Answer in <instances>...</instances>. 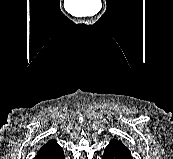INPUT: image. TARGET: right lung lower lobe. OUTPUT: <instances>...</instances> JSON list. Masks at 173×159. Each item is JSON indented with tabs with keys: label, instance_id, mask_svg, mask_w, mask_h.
Wrapping results in <instances>:
<instances>
[{
	"label": "right lung lower lobe",
	"instance_id": "98d812e1",
	"mask_svg": "<svg viewBox=\"0 0 173 159\" xmlns=\"http://www.w3.org/2000/svg\"><path fill=\"white\" fill-rule=\"evenodd\" d=\"M41 159H65L63 149H60L54 153L45 155Z\"/></svg>",
	"mask_w": 173,
	"mask_h": 159
}]
</instances>
